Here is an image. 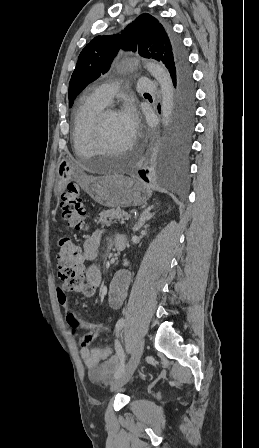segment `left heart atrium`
I'll use <instances>...</instances> for the list:
<instances>
[{"label": "left heart atrium", "mask_w": 259, "mask_h": 448, "mask_svg": "<svg viewBox=\"0 0 259 448\" xmlns=\"http://www.w3.org/2000/svg\"><path fill=\"white\" fill-rule=\"evenodd\" d=\"M120 120L129 131L132 138H134L138 132L139 117L135 108L128 104L118 114Z\"/></svg>", "instance_id": "39dd6f15"}]
</instances>
